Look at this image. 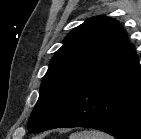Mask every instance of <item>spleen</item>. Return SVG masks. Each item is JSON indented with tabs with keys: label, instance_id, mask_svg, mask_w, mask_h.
<instances>
[{
	"label": "spleen",
	"instance_id": "obj_1",
	"mask_svg": "<svg viewBox=\"0 0 141 139\" xmlns=\"http://www.w3.org/2000/svg\"><path fill=\"white\" fill-rule=\"evenodd\" d=\"M69 139H113L108 134H105L103 132L90 130V131H82V132H76L72 133L69 136Z\"/></svg>",
	"mask_w": 141,
	"mask_h": 139
}]
</instances>
